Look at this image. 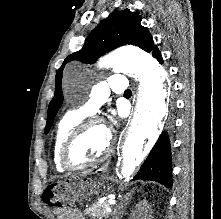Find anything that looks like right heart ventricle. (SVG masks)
Wrapping results in <instances>:
<instances>
[{"label": "right heart ventricle", "instance_id": "obj_1", "mask_svg": "<svg viewBox=\"0 0 221 219\" xmlns=\"http://www.w3.org/2000/svg\"><path fill=\"white\" fill-rule=\"evenodd\" d=\"M86 113L80 110H72L65 113L57 123L53 138V163L55 169L59 172H64L67 169L60 161V152L62 145L72 129L77 126L85 117Z\"/></svg>", "mask_w": 221, "mask_h": 219}]
</instances>
